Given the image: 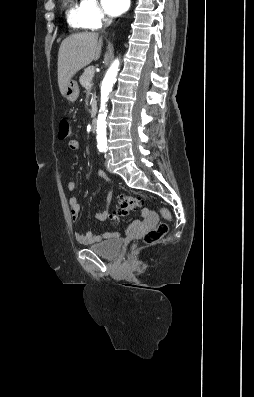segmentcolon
Masks as SVG:
<instances>
[{
	"label": "colon",
	"mask_w": 254,
	"mask_h": 397,
	"mask_svg": "<svg viewBox=\"0 0 254 397\" xmlns=\"http://www.w3.org/2000/svg\"><path fill=\"white\" fill-rule=\"evenodd\" d=\"M70 124L69 121L66 119H62L59 123V132L58 136L60 139H66L70 135ZM143 204V200L141 197L137 196H122L119 199V207L116 214L112 215V218H116L120 214H126L130 211H133ZM161 215L165 219H170L171 214L168 209L161 208L160 209ZM168 232V225L166 223H160L156 228L149 230L145 233L143 237V241L147 244H153L160 240L166 233ZM136 244H132L131 247L134 248Z\"/></svg>",
	"instance_id": "1"
}]
</instances>
